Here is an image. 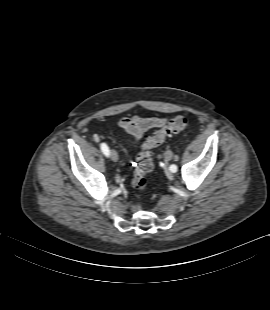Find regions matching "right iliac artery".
I'll return each mask as SVG.
<instances>
[{"mask_svg":"<svg viewBox=\"0 0 270 310\" xmlns=\"http://www.w3.org/2000/svg\"><path fill=\"white\" fill-rule=\"evenodd\" d=\"M101 150L104 153V155L109 156V148L105 143L101 144Z\"/></svg>","mask_w":270,"mask_h":310,"instance_id":"1","label":"right iliac artery"}]
</instances>
